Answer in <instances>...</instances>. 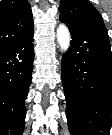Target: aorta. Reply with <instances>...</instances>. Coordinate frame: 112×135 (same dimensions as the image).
I'll return each instance as SVG.
<instances>
[{
    "mask_svg": "<svg viewBox=\"0 0 112 135\" xmlns=\"http://www.w3.org/2000/svg\"><path fill=\"white\" fill-rule=\"evenodd\" d=\"M70 32L66 25L60 24L57 29V42L60 46V49L63 52H66L70 46Z\"/></svg>",
    "mask_w": 112,
    "mask_h": 135,
    "instance_id": "1",
    "label": "aorta"
}]
</instances>
